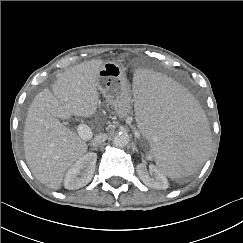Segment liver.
Instances as JSON below:
<instances>
[{"mask_svg": "<svg viewBox=\"0 0 243 243\" xmlns=\"http://www.w3.org/2000/svg\"><path fill=\"white\" fill-rule=\"evenodd\" d=\"M102 60H90L65 71L30 105L24 127L26 163L33 175L51 189L61 187L68 168L87 152L88 144L59 119L93 116L100 103L98 72Z\"/></svg>", "mask_w": 243, "mask_h": 243, "instance_id": "liver-1", "label": "liver"}]
</instances>
